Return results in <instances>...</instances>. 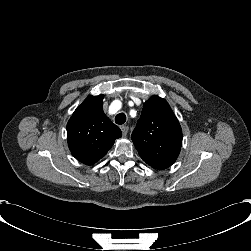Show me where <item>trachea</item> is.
Returning <instances> with one entry per match:
<instances>
[{
  "label": "trachea",
  "instance_id": "trachea-1",
  "mask_svg": "<svg viewBox=\"0 0 251 251\" xmlns=\"http://www.w3.org/2000/svg\"><path fill=\"white\" fill-rule=\"evenodd\" d=\"M126 122V115L124 113H119L115 117V123L116 124H124Z\"/></svg>",
  "mask_w": 251,
  "mask_h": 251
}]
</instances>
